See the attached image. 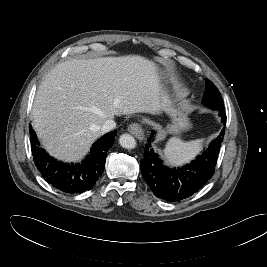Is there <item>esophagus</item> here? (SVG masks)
I'll return each mask as SVG.
<instances>
[{"label": "esophagus", "mask_w": 267, "mask_h": 267, "mask_svg": "<svg viewBox=\"0 0 267 267\" xmlns=\"http://www.w3.org/2000/svg\"><path fill=\"white\" fill-rule=\"evenodd\" d=\"M128 131L137 139H144V131L140 124L138 123H132L128 127Z\"/></svg>", "instance_id": "1"}]
</instances>
